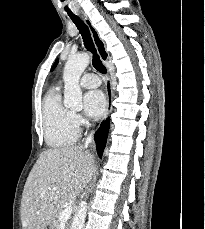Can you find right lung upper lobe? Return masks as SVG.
Wrapping results in <instances>:
<instances>
[{"instance_id": "obj_1", "label": "right lung upper lobe", "mask_w": 205, "mask_h": 229, "mask_svg": "<svg viewBox=\"0 0 205 229\" xmlns=\"http://www.w3.org/2000/svg\"><path fill=\"white\" fill-rule=\"evenodd\" d=\"M57 63H58V60H56V62L54 63L53 68L56 67ZM53 68H52V69H53Z\"/></svg>"}]
</instances>
